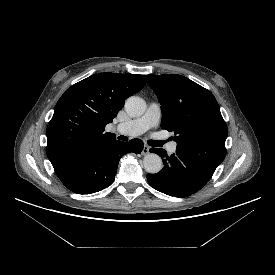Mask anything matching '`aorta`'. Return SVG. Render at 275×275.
<instances>
[{"instance_id": "1", "label": "aorta", "mask_w": 275, "mask_h": 275, "mask_svg": "<svg viewBox=\"0 0 275 275\" xmlns=\"http://www.w3.org/2000/svg\"><path fill=\"white\" fill-rule=\"evenodd\" d=\"M125 110L131 117L141 116L146 110L145 101L137 96L129 97L125 102ZM144 169L151 174H156L162 169V159L154 153L147 154L143 159Z\"/></svg>"}]
</instances>
